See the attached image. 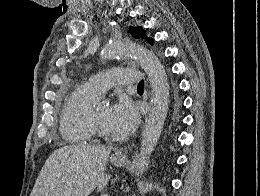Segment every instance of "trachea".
Returning a JSON list of instances; mask_svg holds the SVG:
<instances>
[{"instance_id": "trachea-1", "label": "trachea", "mask_w": 260, "mask_h": 196, "mask_svg": "<svg viewBox=\"0 0 260 196\" xmlns=\"http://www.w3.org/2000/svg\"><path fill=\"white\" fill-rule=\"evenodd\" d=\"M143 88H144V81L141 80V81L138 83L137 89H143Z\"/></svg>"}]
</instances>
